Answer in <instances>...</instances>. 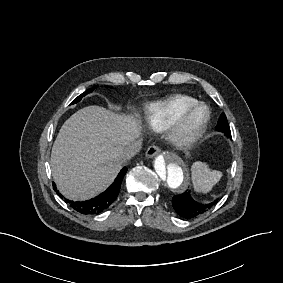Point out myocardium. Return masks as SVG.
Instances as JSON below:
<instances>
[{"instance_id":"obj_1","label":"myocardium","mask_w":283,"mask_h":283,"mask_svg":"<svg viewBox=\"0 0 283 283\" xmlns=\"http://www.w3.org/2000/svg\"><path fill=\"white\" fill-rule=\"evenodd\" d=\"M211 118L210 108L202 102L181 106L176 101L163 105L161 134L169 145L185 150L195 145L205 133Z\"/></svg>"}]
</instances>
